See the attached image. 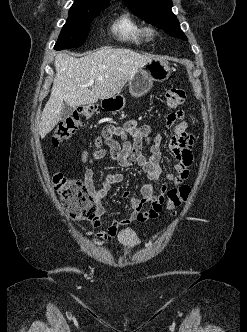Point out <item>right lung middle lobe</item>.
<instances>
[{"instance_id":"obj_1","label":"right lung middle lobe","mask_w":247,"mask_h":332,"mask_svg":"<svg viewBox=\"0 0 247 332\" xmlns=\"http://www.w3.org/2000/svg\"><path fill=\"white\" fill-rule=\"evenodd\" d=\"M108 5L93 7H75L69 10L66 24L63 26L54 49L80 47L84 44L93 18Z\"/></svg>"}]
</instances>
